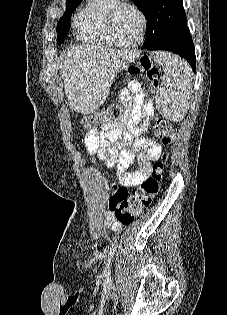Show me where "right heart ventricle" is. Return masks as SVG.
I'll list each match as a JSON object with an SVG mask.
<instances>
[{"label":"right heart ventricle","mask_w":227,"mask_h":315,"mask_svg":"<svg viewBox=\"0 0 227 315\" xmlns=\"http://www.w3.org/2000/svg\"><path fill=\"white\" fill-rule=\"evenodd\" d=\"M118 0H87L75 17L76 27L84 41L94 45L112 46L107 35V17Z\"/></svg>","instance_id":"e07e8e85"}]
</instances>
